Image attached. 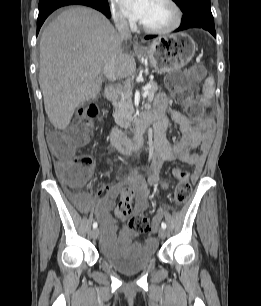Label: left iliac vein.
<instances>
[{"label":"left iliac vein","instance_id":"left-iliac-vein-1","mask_svg":"<svg viewBox=\"0 0 261 306\" xmlns=\"http://www.w3.org/2000/svg\"><path fill=\"white\" fill-rule=\"evenodd\" d=\"M158 236H159V238L164 239L166 237V230L163 229V228H159L158 229Z\"/></svg>","mask_w":261,"mask_h":306}]
</instances>
